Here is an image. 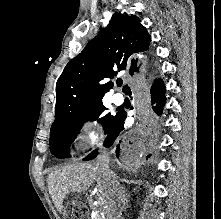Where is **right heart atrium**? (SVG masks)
<instances>
[{
    "instance_id": "obj_1",
    "label": "right heart atrium",
    "mask_w": 221,
    "mask_h": 219,
    "mask_svg": "<svg viewBox=\"0 0 221 219\" xmlns=\"http://www.w3.org/2000/svg\"><path fill=\"white\" fill-rule=\"evenodd\" d=\"M102 136L98 121L86 119L79 130L78 140L88 145H95L102 140Z\"/></svg>"
}]
</instances>
